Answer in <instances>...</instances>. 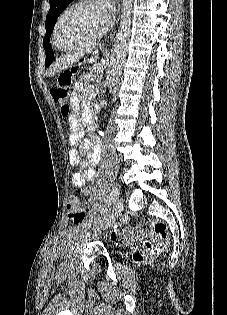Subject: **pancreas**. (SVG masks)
<instances>
[{
    "label": "pancreas",
    "instance_id": "obj_1",
    "mask_svg": "<svg viewBox=\"0 0 227 315\" xmlns=\"http://www.w3.org/2000/svg\"><path fill=\"white\" fill-rule=\"evenodd\" d=\"M100 73V71H96L94 68H90L89 71L83 73L82 79L88 83H91L96 79V76H100Z\"/></svg>",
    "mask_w": 227,
    "mask_h": 315
}]
</instances>
